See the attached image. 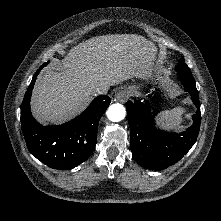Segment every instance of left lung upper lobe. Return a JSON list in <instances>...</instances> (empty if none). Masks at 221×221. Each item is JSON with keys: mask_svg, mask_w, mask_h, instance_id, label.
I'll use <instances>...</instances> for the list:
<instances>
[{"mask_svg": "<svg viewBox=\"0 0 221 221\" xmlns=\"http://www.w3.org/2000/svg\"><path fill=\"white\" fill-rule=\"evenodd\" d=\"M178 73H191L190 68L185 63L184 58L179 60V64L176 66Z\"/></svg>", "mask_w": 221, "mask_h": 221, "instance_id": "obj_1", "label": "left lung upper lobe"}]
</instances>
